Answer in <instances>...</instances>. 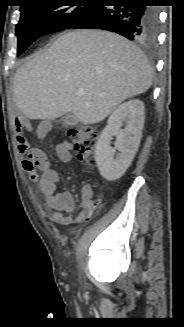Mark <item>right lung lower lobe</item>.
<instances>
[{
    "label": "right lung lower lobe",
    "instance_id": "right-lung-lower-lobe-1",
    "mask_svg": "<svg viewBox=\"0 0 184 327\" xmlns=\"http://www.w3.org/2000/svg\"><path fill=\"white\" fill-rule=\"evenodd\" d=\"M144 3L146 0H126L124 6L96 5L71 28L108 30L151 45L158 33V12Z\"/></svg>",
    "mask_w": 184,
    "mask_h": 327
}]
</instances>
